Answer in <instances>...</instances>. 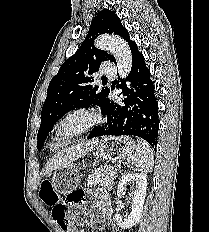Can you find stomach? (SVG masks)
I'll list each match as a JSON object with an SVG mask.
<instances>
[{
	"mask_svg": "<svg viewBox=\"0 0 209 232\" xmlns=\"http://www.w3.org/2000/svg\"><path fill=\"white\" fill-rule=\"evenodd\" d=\"M97 153L106 161H119L133 154L136 149L135 143L129 137H106L98 145ZM80 183V171L73 163L58 168L51 184L54 190L61 194H67L75 190Z\"/></svg>",
	"mask_w": 209,
	"mask_h": 232,
	"instance_id": "stomach-1",
	"label": "stomach"
}]
</instances>
